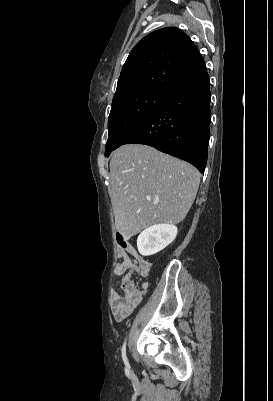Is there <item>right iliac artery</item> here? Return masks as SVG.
Instances as JSON below:
<instances>
[{
    "instance_id": "right-iliac-artery-1",
    "label": "right iliac artery",
    "mask_w": 273,
    "mask_h": 401,
    "mask_svg": "<svg viewBox=\"0 0 273 401\" xmlns=\"http://www.w3.org/2000/svg\"><path fill=\"white\" fill-rule=\"evenodd\" d=\"M122 358H123L124 364L126 366L125 370H126V372H129L130 365H129V362H128V359L126 356V342L123 344V347H122Z\"/></svg>"
}]
</instances>
